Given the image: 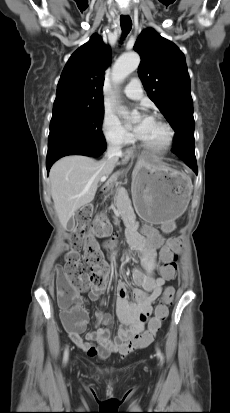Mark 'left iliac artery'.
<instances>
[{"label": "left iliac artery", "instance_id": "obj_1", "mask_svg": "<svg viewBox=\"0 0 230 413\" xmlns=\"http://www.w3.org/2000/svg\"><path fill=\"white\" fill-rule=\"evenodd\" d=\"M157 356L158 358H160L161 361L163 360L162 354L159 349H157Z\"/></svg>", "mask_w": 230, "mask_h": 413}]
</instances>
